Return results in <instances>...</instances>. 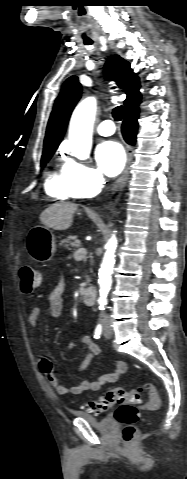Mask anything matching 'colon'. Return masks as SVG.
<instances>
[{
  "mask_svg": "<svg viewBox=\"0 0 187 479\" xmlns=\"http://www.w3.org/2000/svg\"><path fill=\"white\" fill-rule=\"evenodd\" d=\"M19 277L21 290L27 294L35 291L42 284V274L29 265H23L19 268ZM142 389L149 395V401L143 405V408L147 410L157 409L159 407V395L156 388L153 384L146 383ZM139 392L140 389L111 388L103 397L97 400H89L82 407L88 412L102 413L113 405H118L115 418L124 425L122 436L124 441L130 444L138 434L136 423L139 419Z\"/></svg>",
  "mask_w": 187,
  "mask_h": 479,
  "instance_id": "obj_1",
  "label": "colon"
}]
</instances>
